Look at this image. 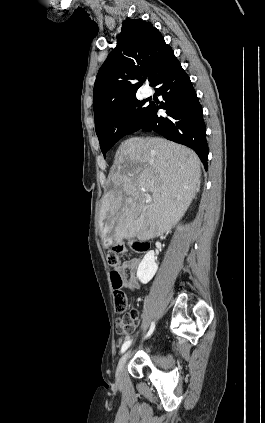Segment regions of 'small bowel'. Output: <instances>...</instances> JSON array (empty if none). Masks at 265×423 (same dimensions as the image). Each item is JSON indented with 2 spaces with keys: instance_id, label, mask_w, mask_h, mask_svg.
<instances>
[{
  "instance_id": "c3829d8e",
  "label": "small bowel",
  "mask_w": 265,
  "mask_h": 423,
  "mask_svg": "<svg viewBox=\"0 0 265 423\" xmlns=\"http://www.w3.org/2000/svg\"><path fill=\"white\" fill-rule=\"evenodd\" d=\"M139 259L138 258H132L127 261H123L121 264H119L115 269L116 272L119 274L122 285L125 289H127L131 293H136L137 290L140 288V283L137 278V270L139 267ZM136 329V323H134L133 330L131 332H126V339H129L131 337V334Z\"/></svg>"
}]
</instances>
